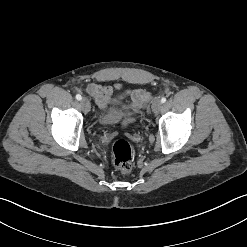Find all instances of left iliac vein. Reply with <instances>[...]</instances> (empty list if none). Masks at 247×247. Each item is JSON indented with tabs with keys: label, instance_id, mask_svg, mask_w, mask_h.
I'll return each instance as SVG.
<instances>
[{
	"label": "left iliac vein",
	"instance_id": "4c4485c4",
	"mask_svg": "<svg viewBox=\"0 0 247 247\" xmlns=\"http://www.w3.org/2000/svg\"><path fill=\"white\" fill-rule=\"evenodd\" d=\"M162 107V102L158 99L154 100L152 103V110L153 112H158Z\"/></svg>",
	"mask_w": 247,
	"mask_h": 247
}]
</instances>
